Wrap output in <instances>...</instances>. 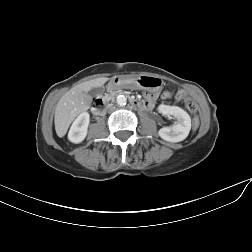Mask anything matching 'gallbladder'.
I'll return each instance as SVG.
<instances>
[{
	"mask_svg": "<svg viewBox=\"0 0 252 252\" xmlns=\"http://www.w3.org/2000/svg\"><path fill=\"white\" fill-rule=\"evenodd\" d=\"M104 92V87H95V88H92L88 94L91 96V97H97L98 95H101L102 93Z\"/></svg>",
	"mask_w": 252,
	"mask_h": 252,
	"instance_id": "bac80fb5",
	"label": "gallbladder"
}]
</instances>
